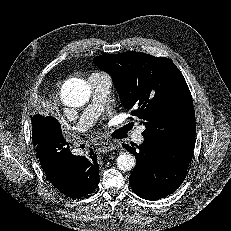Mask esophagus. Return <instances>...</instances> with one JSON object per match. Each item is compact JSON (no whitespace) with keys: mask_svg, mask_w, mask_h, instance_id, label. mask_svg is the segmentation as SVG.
<instances>
[{"mask_svg":"<svg viewBox=\"0 0 231 231\" xmlns=\"http://www.w3.org/2000/svg\"><path fill=\"white\" fill-rule=\"evenodd\" d=\"M100 146L103 152H109L116 148V145L114 144V142L109 141V140L102 141Z\"/></svg>","mask_w":231,"mask_h":231,"instance_id":"obj_1","label":"esophagus"}]
</instances>
